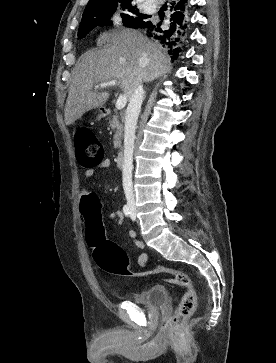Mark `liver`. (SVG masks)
Instances as JSON below:
<instances>
[{
  "mask_svg": "<svg viewBox=\"0 0 276 363\" xmlns=\"http://www.w3.org/2000/svg\"><path fill=\"white\" fill-rule=\"evenodd\" d=\"M102 49L86 52L73 71L65 106V124L71 125L84 113L102 106L108 92L92 91L94 85L119 80L127 99L141 83L151 82L171 70L162 46L136 30L109 31L100 35Z\"/></svg>",
  "mask_w": 276,
  "mask_h": 363,
  "instance_id": "1",
  "label": "liver"
}]
</instances>
